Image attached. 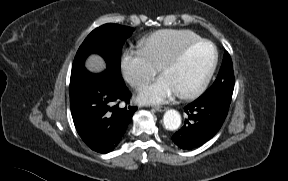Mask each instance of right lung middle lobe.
I'll use <instances>...</instances> for the list:
<instances>
[{
	"label": "right lung middle lobe",
	"instance_id": "right-lung-middle-lobe-1",
	"mask_svg": "<svg viewBox=\"0 0 288 181\" xmlns=\"http://www.w3.org/2000/svg\"><path fill=\"white\" fill-rule=\"evenodd\" d=\"M133 28L117 24H105L94 29L79 47L71 71L70 94L75 79L86 69L84 61L89 54L101 55L107 64L106 72L116 81H123L120 70L121 51L124 41L131 36Z\"/></svg>",
	"mask_w": 288,
	"mask_h": 181
}]
</instances>
